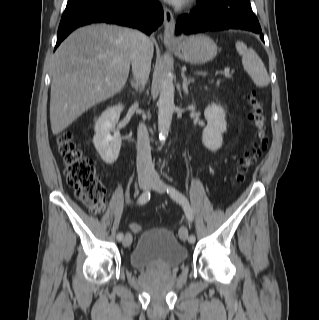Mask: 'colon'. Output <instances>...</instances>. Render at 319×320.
Masks as SVG:
<instances>
[{"mask_svg":"<svg viewBox=\"0 0 319 320\" xmlns=\"http://www.w3.org/2000/svg\"><path fill=\"white\" fill-rule=\"evenodd\" d=\"M251 120L255 127L253 148L239 162L235 181L241 182L250 167L256 162L266 148L267 123L263 104L255 92L250 97ZM60 156L65 168L68 183L74 188L75 195L93 213H102L106 203V190L99 179L93 161L88 158L73 142L69 132L61 133L57 138ZM133 232H140L137 223L130 225Z\"/></svg>","mask_w":319,"mask_h":320,"instance_id":"colon-1","label":"colon"}]
</instances>
